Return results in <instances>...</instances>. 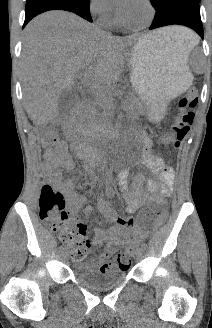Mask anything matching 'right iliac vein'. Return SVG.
Here are the masks:
<instances>
[{
    "label": "right iliac vein",
    "mask_w": 212,
    "mask_h": 328,
    "mask_svg": "<svg viewBox=\"0 0 212 328\" xmlns=\"http://www.w3.org/2000/svg\"><path fill=\"white\" fill-rule=\"evenodd\" d=\"M62 255L65 260H68L69 255L67 251L62 252Z\"/></svg>",
    "instance_id": "1"
}]
</instances>
